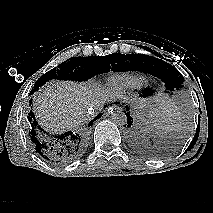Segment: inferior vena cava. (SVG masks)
Listing matches in <instances>:
<instances>
[{
  "label": "inferior vena cava",
  "mask_w": 213,
  "mask_h": 213,
  "mask_svg": "<svg viewBox=\"0 0 213 213\" xmlns=\"http://www.w3.org/2000/svg\"><path fill=\"white\" fill-rule=\"evenodd\" d=\"M93 113H94V109L93 107H89L88 108V114L86 115V118L89 119L93 116Z\"/></svg>",
  "instance_id": "obj_1"
}]
</instances>
